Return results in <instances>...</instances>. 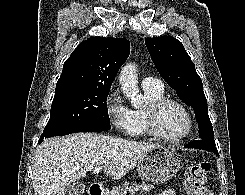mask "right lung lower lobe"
Returning a JSON list of instances; mask_svg holds the SVG:
<instances>
[{"mask_svg": "<svg viewBox=\"0 0 245 195\" xmlns=\"http://www.w3.org/2000/svg\"><path fill=\"white\" fill-rule=\"evenodd\" d=\"M110 128L111 126L109 123L95 121V122H89V123H85V124L76 126L70 130L60 133L57 136H63V135L76 133V132H100V131L109 130ZM40 142H42V140H39V143Z\"/></svg>", "mask_w": 245, "mask_h": 195, "instance_id": "right-lung-lower-lobe-1", "label": "right lung lower lobe"}]
</instances>
